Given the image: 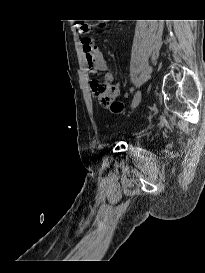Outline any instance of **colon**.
<instances>
[{"mask_svg": "<svg viewBox=\"0 0 205 273\" xmlns=\"http://www.w3.org/2000/svg\"><path fill=\"white\" fill-rule=\"evenodd\" d=\"M76 30L79 34L84 35L89 33L91 26L88 22L75 21ZM91 89L100 104L110 106V110L114 114H121L124 111V104L121 102H114L117 95V90L110 86L107 82L101 80H92Z\"/></svg>", "mask_w": 205, "mask_h": 273, "instance_id": "5ec220e1", "label": "colon"}]
</instances>
